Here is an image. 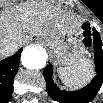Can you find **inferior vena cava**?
Returning <instances> with one entry per match:
<instances>
[{"label":"inferior vena cava","mask_w":103,"mask_h":103,"mask_svg":"<svg viewBox=\"0 0 103 103\" xmlns=\"http://www.w3.org/2000/svg\"><path fill=\"white\" fill-rule=\"evenodd\" d=\"M14 46H15L14 43H7V44L4 45L3 51H7L8 49H10ZM1 49H2V46H1Z\"/></svg>","instance_id":"inferior-vena-cava-1"}]
</instances>
